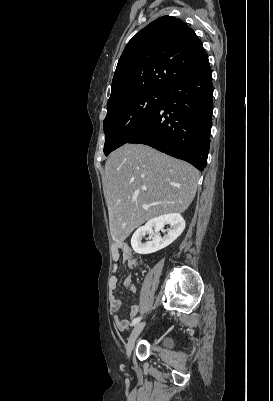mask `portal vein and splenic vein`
Instances as JSON below:
<instances>
[{"instance_id": "18ae733b", "label": "portal vein and splenic vein", "mask_w": 273, "mask_h": 401, "mask_svg": "<svg viewBox=\"0 0 273 401\" xmlns=\"http://www.w3.org/2000/svg\"><path fill=\"white\" fill-rule=\"evenodd\" d=\"M170 184H173V182H170ZM143 209H148L149 205H142Z\"/></svg>"}]
</instances>
